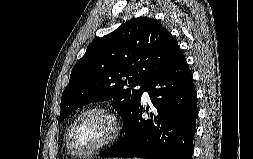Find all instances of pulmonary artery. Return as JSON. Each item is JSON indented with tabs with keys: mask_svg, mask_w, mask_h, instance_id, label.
<instances>
[{
	"mask_svg": "<svg viewBox=\"0 0 253 159\" xmlns=\"http://www.w3.org/2000/svg\"><path fill=\"white\" fill-rule=\"evenodd\" d=\"M136 88H140V86H137ZM142 101H143V102L149 101V94H148V92H147L146 90L143 92Z\"/></svg>",
	"mask_w": 253,
	"mask_h": 159,
	"instance_id": "pulmonary-artery-1",
	"label": "pulmonary artery"
}]
</instances>
